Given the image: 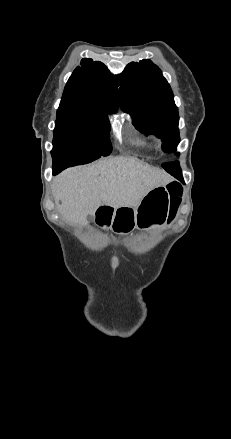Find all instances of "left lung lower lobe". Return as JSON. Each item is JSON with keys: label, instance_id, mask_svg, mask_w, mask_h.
<instances>
[{"label": "left lung lower lobe", "instance_id": "1", "mask_svg": "<svg viewBox=\"0 0 231 439\" xmlns=\"http://www.w3.org/2000/svg\"><path fill=\"white\" fill-rule=\"evenodd\" d=\"M172 163H174L175 168L179 170V173H180L179 178H181L182 177V173H181V169L179 167L178 162H172ZM168 170L171 171V169H168Z\"/></svg>", "mask_w": 231, "mask_h": 439}]
</instances>
